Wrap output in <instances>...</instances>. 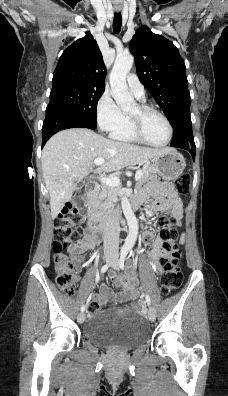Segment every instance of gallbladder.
I'll use <instances>...</instances> for the list:
<instances>
[{
  "label": "gallbladder",
  "instance_id": "obj_1",
  "mask_svg": "<svg viewBox=\"0 0 228 396\" xmlns=\"http://www.w3.org/2000/svg\"><path fill=\"white\" fill-rule=\"evenodd\" d=\"M82 187H83V185H82V184H76V189H77V190H80V189H82Z\"/></svg>",
  "mask_w": 228,
  "mask_h": 396
}]
</instances>
